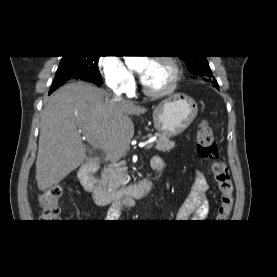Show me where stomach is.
Returning <instances> with one entry per match:
<instances>
[{
  "mask_svg": "<svg viewBox=\"0 0 277 277\" xmlns=\"http://www.w3.org/2000/svg\"><path fill=\"white\" fill-rule=\"evenodd\" d=\"M198 112L194 99L176 93L160 102L153 111L154 127L159 135L171 138L183 133Z\"/></svg>",
  "mask_w": 277,
  "mask_h": 277,
  "instance_id": "obj_1",
  "label": "stomach"
}]
</instances>
